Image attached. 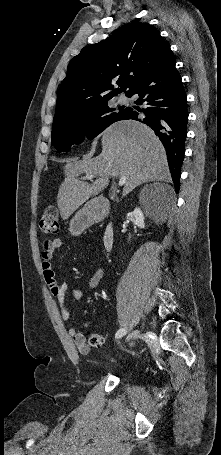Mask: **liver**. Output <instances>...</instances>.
<instances>
[{"mask_svg":"<svg viewBox=\"0 0 221 455\" xmlns=\"http://www.w3.org/2000/svg\"><path fill=\"white\" fill-rule=\"evenodd\" d=\"M57 204L62 219L70 215L89 198L102 193L110 177H126L123 195L149 181H168L170 172L165 149L146 125L133 120L119 121L105 130L102 152L95 158L68 162L64 166ZM81 174L96 180L87 184L78 179Z\"/></svg>","mask_w":221,"mask_h":455,"instance_id":"1","label":"liver"}]
</instances>
